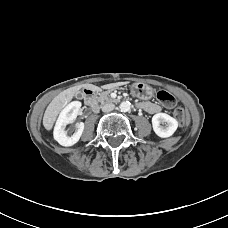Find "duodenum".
Masks as SVG:
<instances>
[{"label": "duodenum", "instance_id": "obj_1", "mask_svg": "<svg viewBox=\"0 0 228 228\" xmlns=\"http://www.w3.org/2000/svg\"><path fill=\"white\" fill-rule=\"evenodd\" d=\"M84 100L86 104L93 110L98 109V102L96 99V91L93 87H86L84 89Z\"/></svg>", "mask_w": 228, "mask_h": 228}]
</instances>
